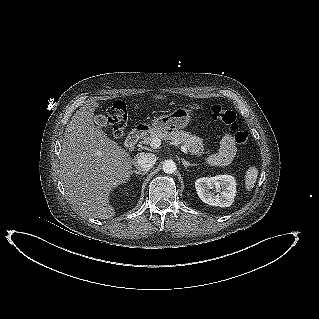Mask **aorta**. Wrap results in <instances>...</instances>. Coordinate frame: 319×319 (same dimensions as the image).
I'll list each match as a JSON object with an SVG mask.
<instances>
[{
	"label": "aorta",
	"instance_id": "aorta-1",
	"mask_svg": "<svg viewBox=\"0 0 319 319\" xmlns=\"http://www.w3.org/2000/svg\"><path fill=\"white\" fill-rule=\"evenodd\" d=\"M177 167L174 161L166 160L163 164V171L167 174H172L176 171Z\"/></svg>",
	"mask_w": 319,
	"mask_h": 319
}]
</instances>
